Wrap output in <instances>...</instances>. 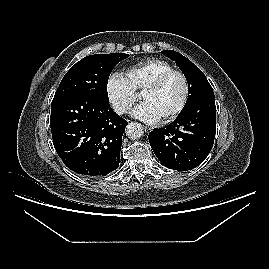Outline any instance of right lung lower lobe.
I'll return each instance as SVG.
<instances>
[{
  "label": "right lung lower lobe",
  "instance_id": "obj_1",
  "mask_svg": "<svg viewBox=\"0 0 269 269\" xmlns=\"http://www.w3.org/2000/svg\"><path fill=\"white\" fill-rule=\"evenodd\" d=\"M127 124L109 103L95 98L69 95L55 97L51 104L54 147L69 169L85 177L118 168Z\"/></svg>",
  "mask_w": 269,
  "mask_h": 269
}]
</instances>
